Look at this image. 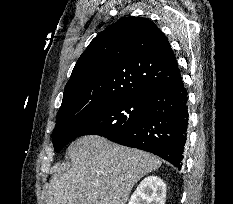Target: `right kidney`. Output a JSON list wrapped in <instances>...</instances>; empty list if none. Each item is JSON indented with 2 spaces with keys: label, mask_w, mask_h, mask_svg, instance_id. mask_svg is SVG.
<instances>
[{
  "label": "right kidney",
  "mask_w": 233,
  "mask_h": 204,
  "mask_svg": "<svg viewBox=\"0 0 233 204\" xmlns=\"http://www.w3.org/2000/svg\"><path fill=\"white\" fill-rule=\"evenodd\" d=\"M166 185L155 175L145 177L134 193L128 204H165Z\"/></svg>",
  "instance_id": "obj_1"
}]
</instances>
